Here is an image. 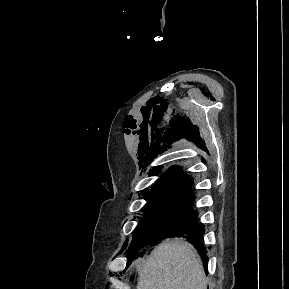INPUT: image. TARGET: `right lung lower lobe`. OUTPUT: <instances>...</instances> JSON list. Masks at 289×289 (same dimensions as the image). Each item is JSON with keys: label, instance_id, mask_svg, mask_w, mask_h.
<instances>
[{"label": "right lung lower lobe", "instance_id": "1", "mask_svg": "<svg viewBox=\"0 0 289 289\" xmlns=\"http://www.w3.org/2000/svg\"><path fill=\"white\" fill-rule=\"evenodd\" d=\"M203 234H204V226L202 223L198 222L197 213H195L191 216V219L186 222L182 228H180V231L177 233H174L173 236H154L150 238H146L143 241L135 242L127 253L129 257H133V254L136 253L137 250H139L142 246H144L146 243H152L155 244L156 242H159L167 237H186L187 240L192 243L195 248L200 253L203 263L206 266L208 262V257L206 255L207 251L206 248L203 246Z\"/></svg>", "mask_w": 289, "mask_h": 289}]
</instances>
